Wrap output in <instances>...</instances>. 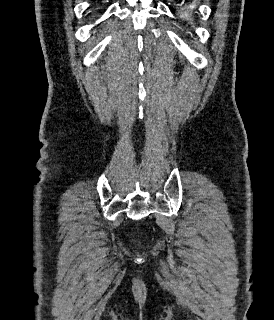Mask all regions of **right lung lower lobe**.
<instances>
[{
    "label": "right lung lower lobe",
    "mask_w": 274,
    "mask_h": 320,
    "mask_svg": "<svg viewBox=\"0 0 274 320\" xmlns=\"http://www.w3.org/2000/svg\"><path fill=\"white\" fill-rule=\"evenodd\" d=\"M98 3L93 4V6H96Z\"/></svg>",
    "instance_id": "1"
}]
</instances>
